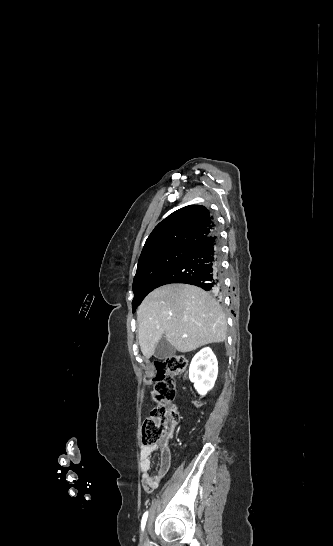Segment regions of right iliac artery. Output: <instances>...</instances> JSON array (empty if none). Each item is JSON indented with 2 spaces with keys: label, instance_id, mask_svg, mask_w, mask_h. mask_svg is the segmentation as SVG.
<instances>
[{
  "label": "right iliac artery",
  "instance_id": "obj_1",
  "mask_svg": "<svg viewBox=\"0 0 333 546\" xmlns=\"http://www.w3.org/2000/svg\"><path fill=\"white\" fill-rule=\"evenodd\" d=\"M147 517H148V511L144 513L143 517H142V521H141V528L142 530H144L145 528V525H146V521H147Z\"/></svg>",
  "mask_w": 333,
  "mask_h": 546
}]
</instances>
